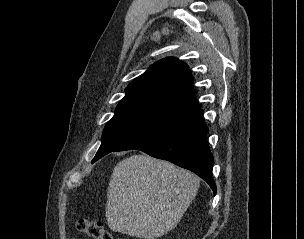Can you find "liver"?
Instances as JSON below:
<instances>
[{"label": "liver", "instance_id": "1", "mask_svg": "<svg viewBox=\"0 0 304 239\" xmlns=\"http://www.w3.org/2000/svg\"><path fill=\"white\" fill-rule=\"evenodd\" d=\"M200 179L174 164L133 155L113 169L106 204L112 231L155 239L172 230L195 198Z\"/></svg>", "mask_w": 304, "mask_h": 239}]
</instances>
